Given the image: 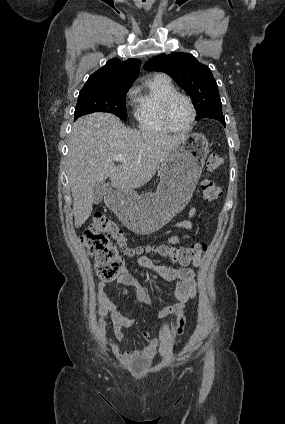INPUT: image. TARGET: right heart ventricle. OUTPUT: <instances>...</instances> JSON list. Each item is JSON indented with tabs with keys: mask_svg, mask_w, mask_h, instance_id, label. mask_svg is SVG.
Here are the masks:
<instances>
[{
	"mask_svg": "<svg viewBox=\"0 0 285 424\" xmlns=\"http://www.w3.org/2000/svg\"><path fill=\"white\" fill-rule=\"evenodd\" d=\"M175 92L170 80L160 75L135 88L133 116L143 132L153 135L170 133L162 122L161 106L163 101Z\"/></svg>",
	"mask_w": 285,
	"mask_h": 424,
	"instance_id": "e07e8e85",
	"label": "right heart ventricle"
}]
</instances>
